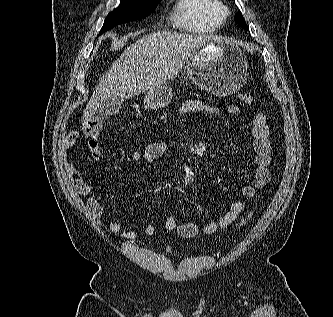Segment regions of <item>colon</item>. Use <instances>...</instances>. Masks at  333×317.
I'll use <instances>...</instances> for the list:
<instances>
[{
  "label": "colon",
  "mask_w": 333,
  "mask_h": 317,
  "mask_svg": "<svg viewBox=\"0 0 333 317\" xmlns=\"http://www.w3.org/2000/svg\"><path fill=\"white\" fill-rule=\"evenodd\" d=\"M239 99L241 102H243L246 105H251L253 103V96L248 92H242L239 94ZM101 126V121L99 119H93V120H86L83 123V128L86 134L90 137L89 145L91 148H95L97 146L96 142V135L97 131L99 130ZM249 216L241 219L239 222V226L246 223Z\"/></svg>",
  "instance_id": "obj_1"
}]
</instances>
